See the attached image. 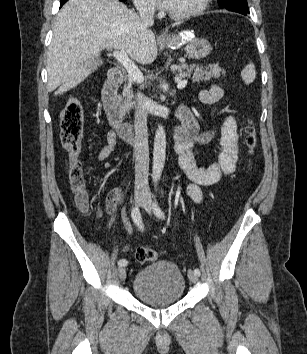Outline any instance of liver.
Returning <instances> with one entry per match:
<instances>
[{
	"label": "liver",
	"instance_id": "obj_1",
	"mask_svg": "<svg viewBox=\"0 0 307 354\" xmlns=\"http://www.w3.org/2000/svg\"><path fill=\"white\" fill-rule=\"evenodd\" d=\"M105 48L123 49L141 64L152 63L158 51L153 32L118 0H69L53 27L47 90L61 95L83 82Z\"/></svg>",
	"mask_w": 307,
	"mask_h": 354
}]
</instances>
